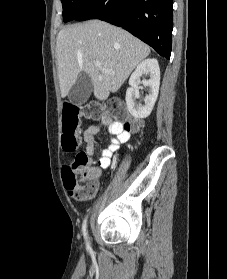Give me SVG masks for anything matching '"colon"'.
<instances>
[{
  "label": "colon",
  "instance_id": "colon-1",
  "mask_svg": "<svg viewBox=\"0 0 227 279\" xmlns=\"http://www.w3.org/2000/svg\"><path fill=\"white\" fill-rule=\"evenodd\" d=\"M111 117L114 121V128L119 126L124 129L136 130L138 122L128 123L126 116L128 114L125 106L119 101H113L109 105ZM104 107L99 104H89L78 106L75 104H66L63 108V126H62V148L65 153H73L80 142V134L76 127L81 119L95 120L103 115ZM89 164V156L85 151H78L71 158L67 165L65 173V184L69 192L79 200L83 201L96 191V184L93 181H87L84 178L83 168Z\"/></svg>",
  "mask_w": 227,
  "mask_h": 279
}]
</instances>
